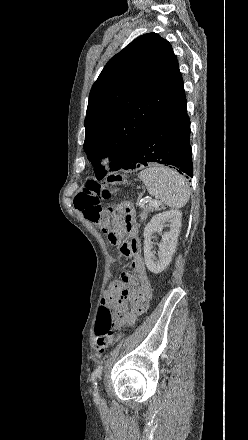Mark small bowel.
<instances>
[{"label": "small bowel", "mask_w": 248, "mask_h": 440, "mask_svg": "<svg viewBox=\"0 0 248 440\" xmlns=\"http://www.w3.org/2000/svg\"><path fill=\"white\" fill-rule=\"evenodd\" d=\"M121 216L116 219L114 231L121 239L127 234L129 239L120 243V253L132 258V273H122L121 279L113 280L102 297V305L112 308L116 315L114 328L122 325L124 331H131L140 315L149 308L152 296L150 280L145 271L141 256L139 228L134 221L133 211L129 203H123ZM131 308L128 312V303Z\"/></svg>", "instance_id": "obj_1"}]
</instances>
